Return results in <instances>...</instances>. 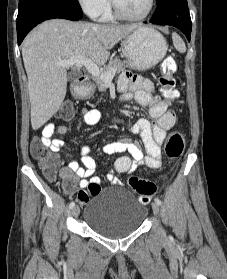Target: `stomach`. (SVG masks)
Wrapping results in <instances>:
<instances>
[{"label":"stomach","instance_id":"1","mask_svg":"<svg viewBox=\"0 0 227 279\" xmlns=\"http://www.w3.org/2000/svg\"><path fill=\"white\" fill-rule=\"evenodd\" d=\"M121 49L128 66L143 71L156 66L165 57L168 44L160 32L142 26L123 39ZM91 92V87L86 89V95Z\"/></svg>","mask_w":227,"mask_h":279}]
</instances>
